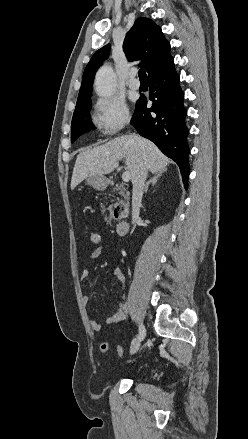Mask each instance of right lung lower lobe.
Returning a JSON list of instances; mask_svg holds the SVG:
<instances>
[{"label": "right lung lower lobe", "instance_id": "98d812e1", "mask_svg": "<svg viewBox=\"0 0 248 439\" xmlns=\"http://www.w3.org/2000/svg\"><path fill=\"white\" fill-rule=\"evenodd\" d=\"M174 63L149 75V99L141 96L136 103L131 124L143 137L153 141L158 148L179 166L185 188L190 174L187 145L188 129L185 125L187 111L184 93Z\"/></svg>", "mask_w": 248, "mask_h": 439}]
</instances>
